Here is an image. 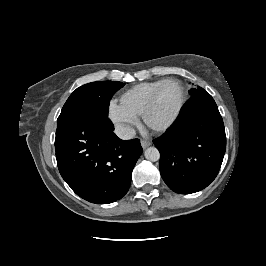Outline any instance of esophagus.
Masks as SVG:
<instances>
[{
    "label": "esophagus",
    "instance_id": "34e87169",
    "mask_svg": "<svg viewBox=\"0 0 266 266\" xmlns=\"http://www.w3.org/2000/svg\"><path fill=\"white\" fill-rule=\"evenodd\" d=\"M151 145V142L148 140H141V146L143 149H146L147 147H149Z\"/></svg>",
    "mask_w": 266,
    "mask_h": 266
}]
</instances>
